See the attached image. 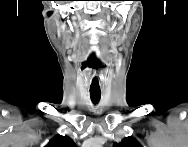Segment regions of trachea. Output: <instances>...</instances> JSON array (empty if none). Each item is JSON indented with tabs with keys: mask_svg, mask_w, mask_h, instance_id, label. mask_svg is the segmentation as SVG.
<instances>
[{
	"mask_svg": "<svg viewBox=\"0 0 188 147\" xmlns=\"http://www.w3.org/2000/svg\"><path fill=\"white\" fill-rule=\"evenodd\" d=\"M101 94L100 93H91L90 92V98L94 104H97L100 100Z\"/></svg>",
	"mask_w": 188,
	"mask_h": 147,
	"instance_id": "obj_1",
	"label": "trachea"
}]
</instances>
